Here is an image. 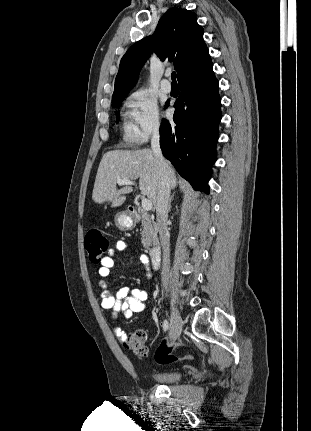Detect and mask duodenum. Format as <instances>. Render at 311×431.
<instances>
[{
  "mask_svg": "<svg viewBox=\"0 0 311 431\" xmlns=\"http://www.w3.org/2000/svg\"><path fill=\"white\" fill-rule=\"evenodd\" d=\"M128 214L132 217L135 218L138 216V212L137 210L130 206L128 208ZM149 256H150V260L153 264V266L158 267L161 261V249L158 245H154L151 247L150 251H149Z\"/></svg>",
  "mask_w": 311,
  "mask_h": 431,
  "instance_id": "duodenum-1",
  "label": "duodenum"
}]
</instances>
